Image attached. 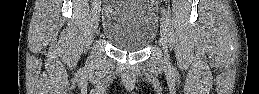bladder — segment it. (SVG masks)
<instances>
[{
  "label": "bladder",
  "instance_id": "1",
  "mask_svg": "<svg viewBox=\"0 0 259 94\" xmlns=\"http://www.w3.org/2000/svg\"><path fill=\"white\" fill-rule=\"evenodd\" d=\"M159 16L149 0H108L102 11V34L116 48L145 49L156 38Z\"/></svg>",
  "mask_w": 259,
  "mask_h": 94
}]
</instances>
